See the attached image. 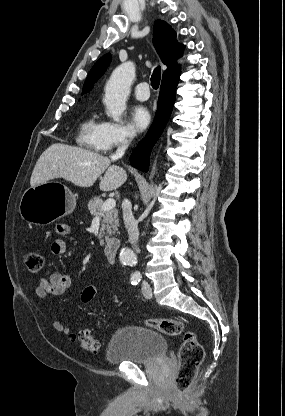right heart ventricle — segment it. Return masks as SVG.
Instances as JSON below:
<instances>
[{"mask_svg":"<svg viewBox=\"0 0 285 416\" xmlns=\"http://www.w3.org/2000/svg\"><path fill=\"white\" fill-rule=\"evenodd\" d=\"M101 128V119L96 113H91L87 116L80 126L79 142L81 145L98 150L96 146V138Z\"/></svg>","mask_w":285,"mask_h":416,"instance_id":"e07e8e85","label":"right heart ventricle"}]
</instances>
